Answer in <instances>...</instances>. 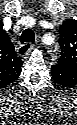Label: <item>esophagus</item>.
<instances>
[{
	"mask_svg": "<svg viewBox=\"0 0 77 125\" xmlns=\"http://www.w3.org/2000/svg\"><path fill=\"white\" fill-rule=\"evenodd\" d=\"M33 49L34 44L31 42H26L18 47L17 52L20 56H26L29 55Z\"/></svg>",
	"mask_w": 77,
	"mask_h": 125,
	"instance_id": "esophagus-1",
	"label": "esophagus"
}]
</instances>
